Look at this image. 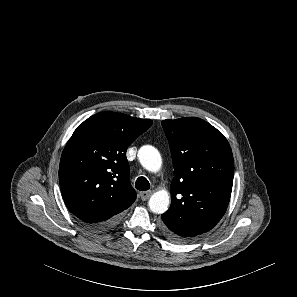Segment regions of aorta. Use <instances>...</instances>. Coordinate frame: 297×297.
Wrapping results in <instances>:
<instances>
[{"label": "aorta", "instance_id": "aorta-1", "mask_svg": "<svg viewBox=\"0 0 297 297\" xmlns=\"http://www.w3.org/2000/svg\"><path fill=\"white\" fill-rule=\"evenodd\" d=\"M141 165L150 172H157L161 168L162 159L159 151L150 145L142 146L138 151ZM169 194L165 190L155 192L149 199V207L153 213L162 214L169 206Z\"/></svg>", "mask_w": 297, "mask_h": 297}]
</instances>
